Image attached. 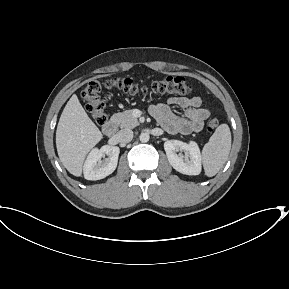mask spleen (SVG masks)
Listing matches in <instances>:
<instances>
[{
	"instance_id": "spleen-1",
	"label": "spleen",
	"mask_w": 289,
	"mask_h": 289,
	"mask_svg": "<svg viewBox=\"0 0 289 289\" xmlns=\"http://www.w3.org/2000/svg\"><path fill=\"white\" fill-rule=\"evenodd\" d=\"M231 149V132L227 124L217 127L202 150V162L205 175L215 176L224 166Z\"/></svg>"
}]
</instances>
